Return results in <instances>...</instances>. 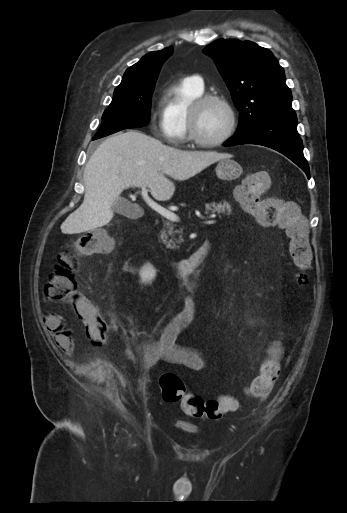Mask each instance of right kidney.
Instances as JSON below:
<instances>
[{"label":"right kidney","instance_id":"1","mask_svg":"<svg viewBox=\"0 0 347 513\" xmlns=\"http://www.w3.org/2000/svg\"><path fill=\"white\" fill-rule=\"evenodd\" d=\"M140 276L142 279V282H150L152 279L156 276V270L151 264H146L141 270H140Z\"/></svg>","mask_w":347,"mask_h":513}]
</instances>
